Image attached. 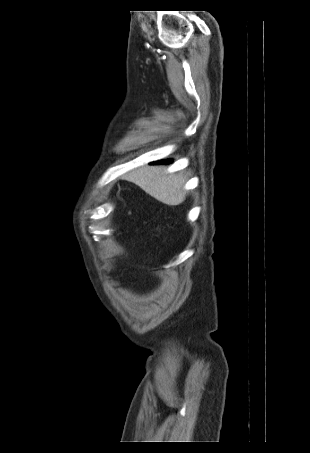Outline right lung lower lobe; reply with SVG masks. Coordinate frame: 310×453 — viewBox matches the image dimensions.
I'll return each mask as SVG.
<instances>
[{
	"mask_svg": "<svg viewBox=\"0 0 310 453\" xmlns=\"http://www.w3.org/2000/svg\"><path fill=\"white\" fill-rule=\"evenodd\" d=\"M170 162H171L170 160H165V161H160V162H158V163H159V164H160V163H161V164H165V163H170Z\"/></svg>",
	"mask_w": 310,
	"mask_h": 453,
	"instance_id": "98d812e1",
	"label": "right lung lower lobe"
}]
</instances>
